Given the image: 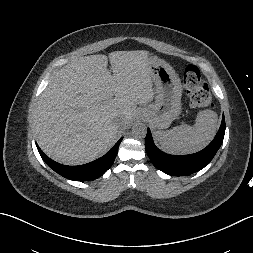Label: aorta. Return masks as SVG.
Wrapping results in <instances>:
<instances>
[{
    "label": "aorta",
    "instance_id": "762f6f07",
    "mask_svg": "<svg viewBox=\"0 0 253 253\" xmlns=\"http://www.w3.org/2000/svg\"><path fill=\"white\" fill-rule=\"evenodd\" d=\"M131 133L136 139H144L147 134V127L143 123H135L132 127Z\"/></svg>",
    "mask_w": 253,
    "mask_h": 253
}]
</instances>
